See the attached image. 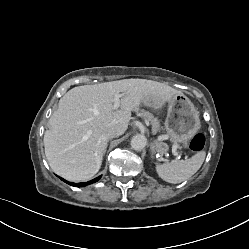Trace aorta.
I'll return each instance as SVG.
<instances>
[{
	"label": "aorta",
	"instance_id": "762f6f07",
	"mask_svg": "<svg viewBox=\"0 0 249 249\" xmlns=\"http://www.w3.org/2000/svg\"><path fill=\"white\" fill-rule=\"evenodd\" d=\"M147 144V139L142 134H136L131 139V147L134 150L140 151L145 148Z\"/></svg>",
	"mask_w": 249,
	"mask_h": 249
}]
</instances>
